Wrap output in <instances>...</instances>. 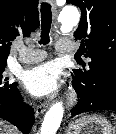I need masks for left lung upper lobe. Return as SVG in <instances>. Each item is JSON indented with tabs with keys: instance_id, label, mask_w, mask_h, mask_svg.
Masks as SVG:
<instances>
[{
	"instance_id": "5c2ea615",
	"label": "left lung upper lobe",
	"mask_w": 116,
	"mask_h": 134,
	"mask_svg": "<svg viewBox=\"0 0 116 134\" xmlns=\"http://www.w3.org/2000/svg\"><path fill=\"white\" fill-rule=\"evenodd\" d=\"M80 7L81 20L74 37L86 47L91 61L87 68L74 69V77L87 94L104 88L108 77H116V0H67Z\"/></svg>"
}]
</instances>
